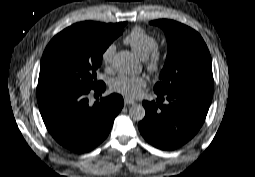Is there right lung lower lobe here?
<instances>
[{
    "mask_svg": "<svg viewBox=\"0 0 255 177\" xmlns=\"http://www.w3.org/2000/svg\"><path fill=\"white\" fill-rule=\"evenodd\" d=\"M105 88L101 82L88 90L49 87L37 91L43 121L59 144L75 152H86L108 136L124 102L120 95L112 94L90 105L88 94Z\"/></svg>",
    "mask_w": 255,
    "mask_h": 177,
    "instance_id": "1",
    "label": "right lung lower lobe"
}]
</instances>
